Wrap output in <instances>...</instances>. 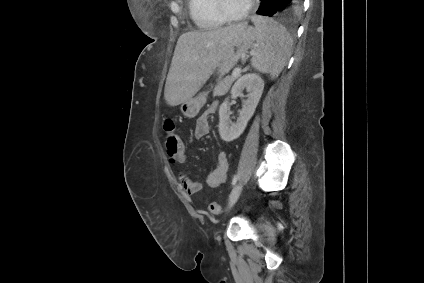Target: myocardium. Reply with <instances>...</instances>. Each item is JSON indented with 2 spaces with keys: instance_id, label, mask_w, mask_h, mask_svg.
<instances>
[{
  "instance_id": "obj_1",
  "label": "myocardium",
  "mask_w": 424,
  "mask_h": 283,
  "mask_svg": "<svg viewBox=\"0 0 424 283\" xmlns=\"http://www.w3.org/2000/svg\"><path fill=\"white\" fill-rule=\"evenodd\" d=\"M216 1V8L220 16L228 22H241L244 21L249 17V15L253 12V10L256 7V1L257 0H250L247 8L239 14H233L231 13L226 5L224 0H215Z\"/></svg>"
}]
</instances>
